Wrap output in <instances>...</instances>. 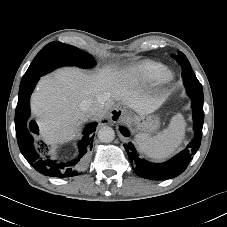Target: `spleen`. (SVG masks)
Here are the masks:
<instances>
[{
  "mask_svg": "<svg viewBox=\"0 0 227 227\" xmlns=\"http://www.w3.org/2000/svg\"><path fill=\"white\" fill-rule=\"evenodd\" d=\"M186 122L182 114L171 118L169 126L156 136L137 135L136 144L146 156L162 160L172 155L185 136Z\"/></svg>",
  "mask_w": 227,
  "mask_h": 227,
  "instance_id": "obj_1",
  "label": "spleen"
}]
</instances>
